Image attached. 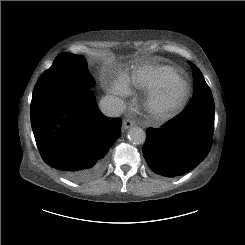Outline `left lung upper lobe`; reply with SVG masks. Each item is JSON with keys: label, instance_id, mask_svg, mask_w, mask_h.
I'll return each instance as SVG.
<instances>
[{"label": "left lung upper lobe", "instance_id": "left-lung-upper-lobe-1", "mask_svg": "<svg viewBox=\"0 0 245 245\" xmlns=\"http://www.w3.org/2000/svg\"><path fill=\"white\" fill-rule=\"evenodd\" d=\"M189 64L192 67L193 77H194V92H193L194 96L189 101V103L194 104L193 101H195V100L208 101L209 98L213 97L209 86L207 85L206 81L204 80V77H203L201 71L194 64H192L190 62H189ZM202 86L206 87V91L204 92V94H201V92L199 91V89H201ZM195 95L199 96V98H195Z\"/></svg>", "mask_w": 245, "mask_h": 245}]
</instances>
